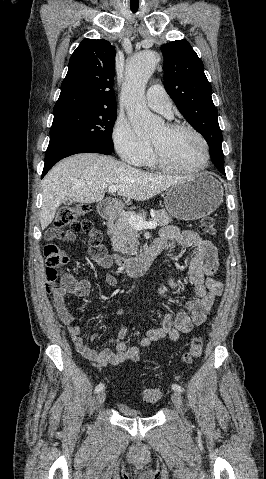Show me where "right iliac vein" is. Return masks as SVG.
<instances>
[{"instance_id": "right-iliac-vein-1", "label": "right iliac vein", "mask_w": 266, "mask_h": 479, "mask_svg": "<svg viewBox=\"0 0 266 479\" xmlns=\"http://www.w3.org/2000/svg\"><path fill=\"white\" fill-rule=\"evenodd\" d=\"M105 398H106V393L104 390L100 391L97 396H96V404L98 407H100L104 401H105Z\"/></svg>"}]
</instances>
